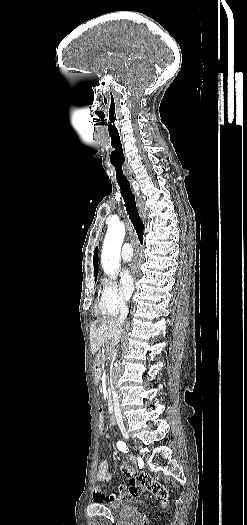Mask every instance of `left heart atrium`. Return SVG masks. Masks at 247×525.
<instances>
[{
	"instance_id": "39dd6f15",
	"label": "left heart atrium",
	"mask_w": 247,
	"mask_h": 525,
	"mask_svg": "<svg viewBox=\"0 0 247 525\" xmlns=\"http://www.w3.org/2000/svg\"><path fill=\"white\" fill-rule=\"evenodd\" d=\"M143 268L144 255L142 251L137 249L135 251L133 260L130 262L129 266L122 271L121 274L123 288L127 294L132 292L135 281L141 278Z\"/></svg>"
}]
</instances>
